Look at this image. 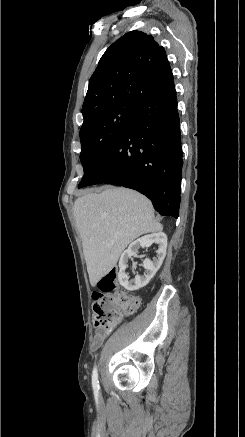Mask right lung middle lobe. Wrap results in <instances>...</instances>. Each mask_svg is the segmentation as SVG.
Instances as JSON below:
<instances>
[{"mask_svg": "<svg viewBox=\"0 0 245 437\" xmlns=\"http://www.w3.org/2000/svg\"><path fill=\"white\" fill-rule=\"evenodd\" d=\"M136 108L137 105L132 103H114L101 107L84 118L80 131V161L84 176L79 185L118 143Z\"/></svg>", "mask_w": 245, "mask_h": 437, "instance_id": "right-lung-middle-lobe-1", "label": "right lung middle lobe"}]
</instances>
